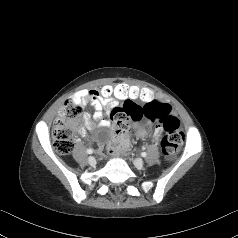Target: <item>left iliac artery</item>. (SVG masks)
<instances>
[{
	"mask_svg": "<svg viewBox=\"0 0 238 238\" xmlns=\"http://www.w3.org/2000/svg\"><path fill=\"white\" fill-rule=\"evenodd\" d=\"M141 156H142V157H146V156H147V153H146V152H142V153H141Z\"/></svg>",
	"mask_w": 238,
	"mask_h": 238,
	"instance_id": "44dca946",
	"label": "left iliac artery"
}]
</instances>
